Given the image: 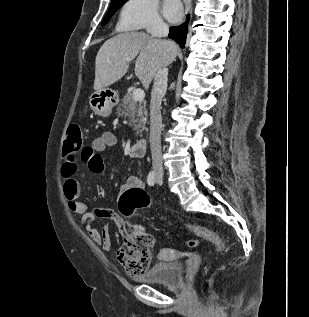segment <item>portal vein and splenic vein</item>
Instances as JSON below:
<instances>
[{
    "instance_id": "obj_1",
    "label": "portal vein and splenic vein",
    "mask_w": 309,
    "mask_h": 317,
    "mask_svg": "<svg viewBox=\"0 0 309 317\" xmlns=\"http://www.w3.org/2000/svg\"><path fill=\"white\" fill-rule=\"evenodd\" d=\"M132 97L135 101H143L145 97V93L142 89H135L132 93Z\"/></svg>"
}]
</instances>
